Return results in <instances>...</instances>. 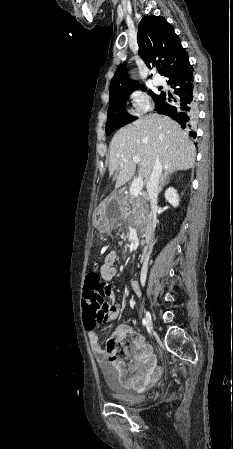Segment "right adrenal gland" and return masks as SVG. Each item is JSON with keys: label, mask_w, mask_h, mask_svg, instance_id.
Returning <instances> with one entry per match:
<instances>
[{"label": "right adrenal gland", "mask_w": 233, "mask_h": 449, "mask_svg": "<svg viewBox=\"0 0 233 449\" xmlns=\"http://www.w3.org/2000/svg\"><path fill=\"white\" fill-rule=\"evenodd\" d=\"M173 172L170 171H165V173L162 175L161 179H160V184H159V190L158 193H160L163 189V186L167 183V178L169 177V175H171Z\"/></svg>", "instance_id": "1"}]
</instances>
